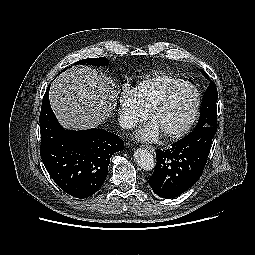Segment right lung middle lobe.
<instances>
[{
    "instance_id": "dd1d6c3e",
    "label": "right lung middle lobe",
    "mask_w": 255,
    "mask_h": 255,
    "mask_svg": "<svg viewBox=\"0 0 255 255\" xmlns=\"http://www.w3.org/2000/svg\"><path fill=\"white\" fill-rule=\"evenodd\" d=\"M78 64L104 66L105 64H107V59L106 58H88L75 63V65H78Z\"/></svg>"
}]
</instances>
